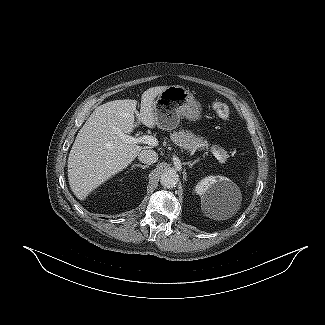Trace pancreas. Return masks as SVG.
I'll return each instance as SVG.
<instances>
[{
  "label": "pancreas",
  "instance_id": "pancreas-1",
  "mask_svg": "<svg viewBox=\"0 0 325 325\" xmlns=\"http://www.w3.org/2000/svg\"><path fill=\"white\" fill-rule=\"evenodd\" d=\"M171 140L174 142V144L182 147L183 149L189 151V152H195L196 150L208 147V144L206 141H204L201 137L194 135L190 131H184L180 130L178 132L174 131L170 134ZM214 149H217L214 147ZM217 151L220 153L222 159L220 162H225L228 158V154L226 151H224L221 148H218Z\"/></svg>",
  "mask_w": 325,
  "mask_h": 325
}]
</instances>
